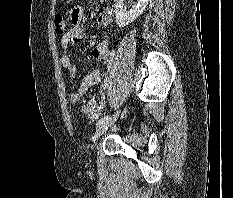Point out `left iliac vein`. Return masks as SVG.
Returning a JSON list of instances; mask_svg holds the SVG:
<instances>
[{"label": "left iliac vein", "mask_w": 233, "mask_h": 198, "mask_svg": "<svg viewBox=\"0 0 233 198\" xmlns=\"http://www.w3.org/2000/svg\"><path fill=\"white\" fill-rule=\"evenodd\" d=\"M119 112L108 118V120L99 124L96 128L94 139L97 140L118 118Z\"/></svg>", "instance_id": "4c4485c4"}]
</instances>
